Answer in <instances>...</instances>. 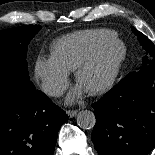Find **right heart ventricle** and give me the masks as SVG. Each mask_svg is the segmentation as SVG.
<instances>
[{"label":"right heart ventricle","mask_w":155,"mask_h":155,"mask_svg":"<svg viewBox=\"0 0 155 155\" xmlns=\"http://www.w3.org/2000/svg\"><path fill=\"white\" fill-rule=\"evenodd\" d=\"M116 36L105 28L85 29L64 35L51 45L52 58L68 72L76 68L105 40Z\"/></svg>","instance_id":"1"}]
</instances>
